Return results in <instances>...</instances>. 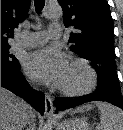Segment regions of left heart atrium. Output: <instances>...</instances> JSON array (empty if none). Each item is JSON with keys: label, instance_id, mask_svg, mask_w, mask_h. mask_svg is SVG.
I'll return each mask as SVG.
<instances>
[{"label": "left heart atrium", "instance_id": "obj_1", "mask_svg": "<svg viewBox=\"0 0 123 130\" xmlns=\"http://www.w3.org/2000/svg\"><path fill=\"white\" fill-rule=\"evenodd\" d=\"M26 73L35 81L59 85L68 63L57 47H44L29 53L24 61Z\"/></svg>", "mask_w": 123, "mask_h": 130}]
</instances>
